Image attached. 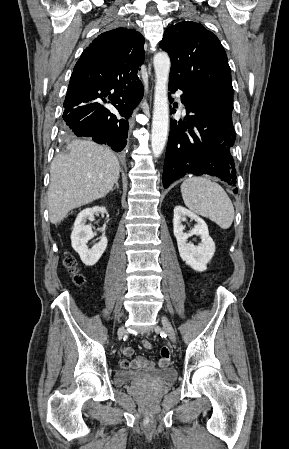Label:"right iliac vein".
I'll use <instances>...</instances> for the list:
<instances>
[{
    "instance_id": "right-iliac-vein-1",
    "label": "right iliac vein",
    "mask_w": 289,
    "mask_h": 449,
    "mask_svg": "<svg viewBox=\"0 0 289 449\" xmlns=\"http://www.w3.org/2000/svg\"><path fill=\"white\" fill-rule=\"evenodd\" d=\"M124 333H125V327L122 326L118 331V337L121 338Z\"/></svg>"
}]
</instances>
